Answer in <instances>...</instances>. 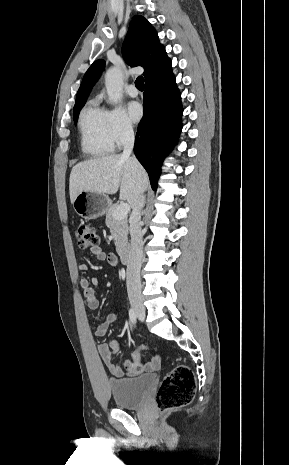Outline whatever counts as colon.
I'll return each mask as SVG.
<instances>
[{
    "instance_id": "5ec220e1",
    "label": "colon",
    "mask_w": 289,
    "mask_h": 465,
    "mask_svg": "<svg viewBox=\"0 0 289 465\" xmlns=\"http://www.w3.org/2000/svg\"><path fill=\"white\" fill-rule=\"evenodd\" d=\"M99 238L91 225H82L78 229V245L81 249H93L98 246ZM140 347L133 353V361L126 363L128 368L136 366ZM196 380L193 371L185 365H178L162 380L156 394V404L161 412H167L188 405L194 396Z\"/></svg>"
}]
</instances>
